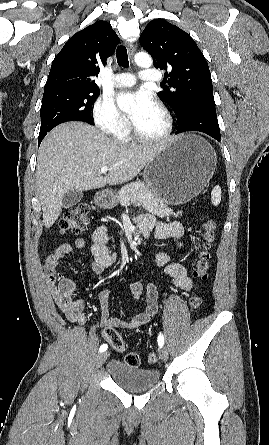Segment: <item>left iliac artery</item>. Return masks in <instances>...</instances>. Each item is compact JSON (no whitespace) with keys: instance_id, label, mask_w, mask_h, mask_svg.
<instances>
[{"instance_id":"left-iliac-artery-1","label":"left iliac artery","mask_w":269,"mask_h":445,"mask_svg":"<svg viewBox=\"0 0 269 445\" xmlns=\"http://www.w3.org/2000/svg\"><path fill=\"white\" fill-rule=\"evenodd\" d=\"M158 345L160 347H162L164 345V336H163L162 333H160L159 336H158Z\"/></svg>"}]
</instances>
